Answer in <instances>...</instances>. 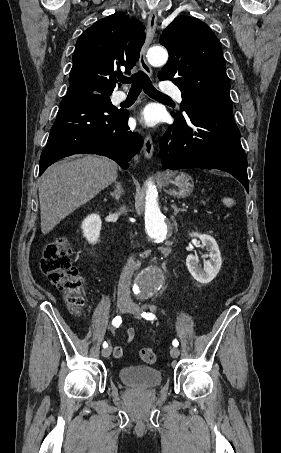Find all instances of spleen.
Returning <instances> with one entry per match:
<instances>
[{
	"instance_id": "3e777b00",
	"label": "spleen",
	"mask_w": 281,
	"mask_h": 453,
	"mask_svg": "<svg viewBox=\"0 0 281 453\" xmlns=\"http://www.w3.org/2000/svg\"><path fill=\"white\" fill-rule=\"evenodd\" d=\"M222 202H224L226 206H233V204H235L233 198H223Z\"/></svg>"
}]
</instances>
